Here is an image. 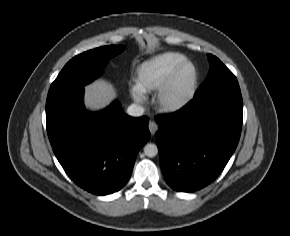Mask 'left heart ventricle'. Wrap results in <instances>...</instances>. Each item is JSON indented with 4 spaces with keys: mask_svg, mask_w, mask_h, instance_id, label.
Masks as SVG:
<instances>
[{
    "mask_svg": "<svg viewBox=\"0 0 290 236\" xmlns=\"http://www.w3.org/2000/svg\"><path fill=\"white\" fill-rule=\"evenodd\" d=\"M192 78V69L187 67L183 70L177 79V82L173 88L172 96H178L182 94L189 86Z\"/></svg>",
    "mask_w": 290,
    "mask_h": 236,
    "instance_id": "obj_1",
    "label": "left heart ventricle"
}]
</instances>
